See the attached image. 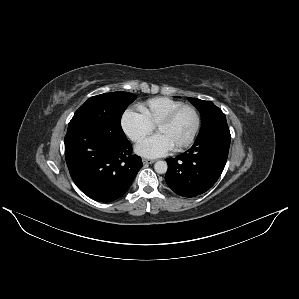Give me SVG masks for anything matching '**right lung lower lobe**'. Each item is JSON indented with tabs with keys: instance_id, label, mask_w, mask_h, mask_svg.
I'll list each match as a JSON object with an SVG mask.
<instances>
[{
	"instance_id": "right-lung-lower-lobe-1",
	"label": "right lung lower lobe",
	"mask_w": 299,
	"mask_h": 299,
	"mask_svg": "<svg viewBox=\"0 0 299 299\" xmlns=\"http://www.w3.org/2000/svg\"><path fill=\"white\" fill-rule=\"evenodd\" d=\"M65 159L78 188L99 202L120 198L143 166L126 136L98 126H74L65 136Z\"/></svg>"
}]
</instances>
